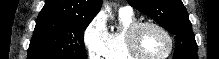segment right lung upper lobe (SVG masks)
<instances>
[{
    "label": "right lung upper lobe",
    "mask_w": 219,
    "mask_h": 59,
    "mask_svg": "<svg viewBox=\"0 0 219 59\" xmlns=\"http://www.w3.org/2000/svg\"><path fill=\"white\" fill-rule=\"evenodd\" d=\"M102 0H46L38 17H60L91 20L97 15Z\"/></svg>",
    "instance_id": "cb5924a9"
}]
</instances>
